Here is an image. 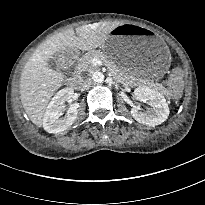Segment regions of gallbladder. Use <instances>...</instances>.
<instances>
[{"instance_id": "bac80fb5", "label": "gallbladder", "mask_w": 205, "mask_h": 205, "mask_svg": "<svg viewBox=\"0 0 205 205\" xmlns=\"http://www.w3.org/2000/svg\"><path fill=\"white\" fill-rule=\"evenodd\" d=\"M67 51H59L55 53L52 58H50L47 62L48 66L54 71H62L64 75L69 74V68L67 67L66 60H68Z\"/></svg>"}]
</instances>
